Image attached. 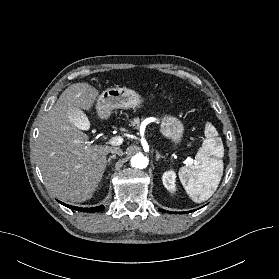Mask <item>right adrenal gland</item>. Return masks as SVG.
<instances>
[{
    "mask_svg": "<svg viewBox=\"0 0 279 279\" xmlns=\"http://www.w3.org/2000/svg\"><path fill=\"white\" fill-rule=\"evenodd\" d=\"M112 159H116V155H115V154L112 155V156H110V157L108 158L107 164H106L107 167L111 164V160H112ZM112 169H113V168H112Z\"/></svg>",
    "mask_w": 279,
    "mask_h": 279,
    "instance_id": "1",
    "label": "right adrenal gland"
}]
</instances>
